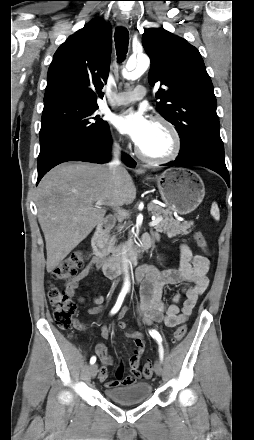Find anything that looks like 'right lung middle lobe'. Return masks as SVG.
Masks as SVG:
<instances>
[{"label":"right lung middle lobe","instance_id":"right-lung-middle-lobe-1","mask_svg":"<svg viewBox=\"0 0 254 440\" xmlns=\"http://www.w3.org/2000/svg\"><path fill=\"white\" fill-rule=\"evenodd\" d=\"M97 109L96 103L75 99H59L44 105L38 167L57 150L102 138L109 126L96 115Z\"/></svg>","mask_w":254,"mask_h":440}]
</instances>
